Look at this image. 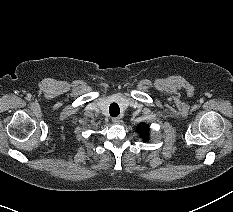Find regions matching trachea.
<instances>
[{"label":"trachea","instance_id":"trachea-1","mask_svg":"<svg viewBox=\"0 0 233 212\" xmlns=\"http://www.w3.org/2000/svg\"><path fill=\"white\" fill-rule=\"evenodd\" d=\"M109 112L112 117H117L120 113L118 104L112 103L109 107Z\"/></svg>","mask_w":233,"mask_h":212}]
</instances>
